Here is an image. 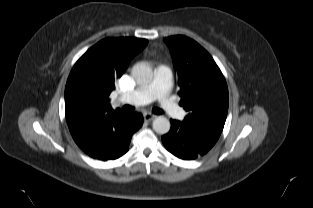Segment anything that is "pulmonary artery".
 Wrapping results in <instances>:
<instances>
[{"instance_id":"pulmonary-artery-1","label":"pulmonary artery","mask_w":313,"mask_h":208,"mask_svg":"<svg viewBox=\"0 0 313 208\" xmlns=\"http://www.w3.org/2000/svg\"><path fill=\"white\" fill-rule=\"evenodd\" d=\"M172 86V70L166 65L155 68L153 81L123 95L120 99L131 105H144L158 100L160 107L172 118H182L183 110L169 96Z\"/></svg>"}]
</instances>
